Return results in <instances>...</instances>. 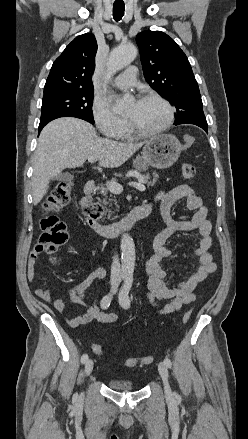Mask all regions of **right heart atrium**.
I'll return each instance as SVG.
<instances>
[{
    "mask_svg": "<svg viewBox=\"0 0 248 439\" xmlns=\"http://www.w3.org/2000/svg\"><path fill=\"white\" fill-rule=\"evenodd\" d=\"M91 111L96 127L105 137L116 138L127 125L126 119L116 115L103 98H94Z\"/></svg>",
    "mask_w": 248,
    "mask_h": 439,
    "instance_id": "right-heart-atrium-1",
    "label": "right heart atrium"
}]
</instances>
